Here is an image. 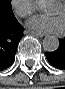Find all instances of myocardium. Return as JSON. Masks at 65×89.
Here are the masks:
<instances>
[{
	"instance_id": "1",
	"label": "myocardium",
	"mask_w": 65,
	"mask_h": 89,
	"mask_svg": "<svg viewBox=\"0 0 65 89\" xmlns=\"http://www.w3.org/2000/svg\"><path fill=\"white\" fill-rule=\"evenodd\" d=\"M59 4L62 5V7H63V9H64V11H65V3H64V2H59Z\"/></svg>"
}]
</instances>
